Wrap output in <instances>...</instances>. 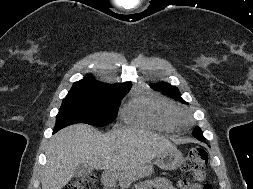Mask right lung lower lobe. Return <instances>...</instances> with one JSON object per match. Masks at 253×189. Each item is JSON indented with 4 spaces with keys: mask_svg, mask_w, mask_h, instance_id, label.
Returning <instances> with one entry per match:
<instances>
[{
    "mask_svg": "<svg viewBox=\"0 0 253 189\" xmlns=\"http://www.w3.org/2000/svg\"><path fill=\"white\" fill-rule=\"evenodd\" d=\"M58 130L54 129L53 133L57 132Z\"/></svg>",
    "mask_w": 253,
    "mask_h": 189,
    "instance_id": "98d812e1",
    "label": "right lung lower lobe"
}]
</instances>
